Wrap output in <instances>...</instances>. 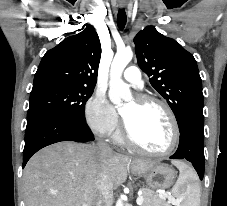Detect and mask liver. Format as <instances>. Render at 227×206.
Here are the masks:
<instances>
[{
	"label": "liver",
	"mask_w": 227,
	"mask_h": 206,
	"mask_svg": "<svg viewBox=\"0 0 227 206\" xmlns=\"http://www.w3.org/2000/svg\"><path fill=\"white\" fill-rule=\"evenodd\" d=\"M157 161L131 159L97 146L63 141L37 152L23 172L25 206H96L98 179L106 171L115 187L131 169L144 175Z\"/></svg>",
	"instance_id": "1"
}]
</instances>
